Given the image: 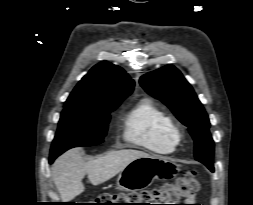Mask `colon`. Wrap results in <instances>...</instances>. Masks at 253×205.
<instances>
[{
    "mask_svg": "<svg viewBox=\"0 0 253 205\" xmlns=\"http://www.w3.org/2000/svg\"><path fill=\"white\" fill-rule=\"evenodd\" d=\"M197 172L185 173L174 182L165 183L157 188L139 193L102 194L98 197V205H180L182 199L194 196L201 187Z\"/></svg>",
    "mask_w": 253,
    "mask_h": 205,
    "instance_id": "obj_1",
    "label": "colon"
}]
</instances>
